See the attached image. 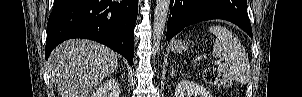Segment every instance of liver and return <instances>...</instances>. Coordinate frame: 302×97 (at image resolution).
I'll return each mask as SVG.
<instances>
[{"instance_id":"liver-1","label":"liver","mask_w":302,"mask_h":97,"mask_svg":"<svg viewBox=\"0 0 302 97\" xmlns=\"http://www.w3.org/2000/svg\"><path fill=\"white\" fill-rule=\"evenodd\" d=\"M49 72L61 97H88L117 65L110 48L89 40L73 39L60 44L49 57Z\"/></svg>"}]
</instances>
